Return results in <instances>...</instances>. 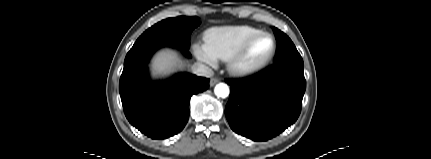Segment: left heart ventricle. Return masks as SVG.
I'll use <instances>...</instances> for the list:
<instances>
[{
    "label": "left heart ventricle",
    "instance_id": "b2bd125f",
    "mask_svg": "<svg viewBox=\"0 0 431 159\" xmlns=\"http://www.w3.org/2000/svg\"><path fill=\"white\" fill-rule=\"evenodd\" d=\"M270 48L271 40L266 36L259 37L250 46L245 55L244 61L251 63L259 60L269 52Z\"/></svg>",
    "mask_w": 431,
    "mask_h": 159
}]
</instances>
